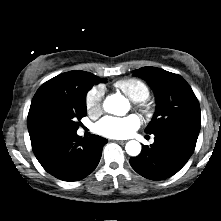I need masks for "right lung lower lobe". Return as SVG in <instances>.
Listing matches in <instances>:
<instances>
[{"label": "right lung lower lobe", "mask_w": 221, "mask_h": 221, "mask_svg": "<svg viewBox=\"0 0 221 221\" xmlns=\"http://www.w3.org/2000/svg\"><path fill=\"white\" fill-rule=\"evenodd\" d=\"M107 142L98 135L82 138L76 132H63L51 136L33 152L48 173L73 182L94 171Z\"/></svg>", "instance_id": "right-lung-lower-lobe-1"}]
</instances>
